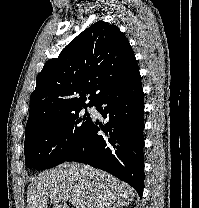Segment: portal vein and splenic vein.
Instances as JSON below:
<instances>
[{"label":"portal vein and splenic vein","mask_w":199,"mask_h":208,"mask_svg":"<svg viewBox=\"0 0 199 208\" xmlns=\"http://www.w3.org/2000/svg\"><path fill=\"white\" fill-rule=\"evenodd\" d=\"M72 204H73L76 208H81L80 205L76 204L74 201H72Z\"/></svg>","instance_id":"obj_1"}]
</instances>
